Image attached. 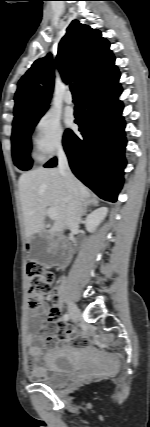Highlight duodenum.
Wrapping results in <instances>:
<instances>
[{"label":"duodenum","mask_w":150,"mask_h":427,"mask_svg":"<svg viewBox=\"0 0 150 427\" xmlns=\"http://www.w3.org/2000/svg\"><path fill=\"white\" fill-rule=\"evenodd\" d=\"M57 245L58 248L54 264L57 267L64 268L68 265L71 256V252L68 246V240L65 238H59Z\"/></svg>","instance_id":"duodenum-1"}]
</instances>
